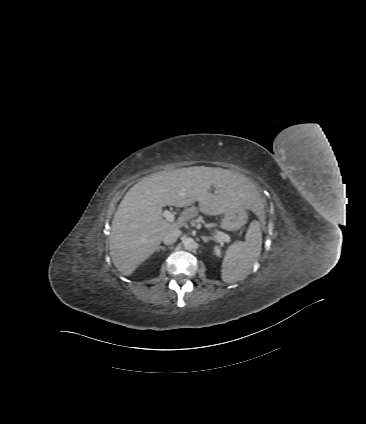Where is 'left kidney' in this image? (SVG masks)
<instances>
[{"label": "left kidney", "mask_w": 366, "mask_h": 424, "mask_svg": "<svg viewBox=\"0 0 366 424\" xmlns=\"http://www.w3.org/2000/svg\"><path fill=\"white\" fill-rule=\"evenodd\" d=\"M214 252H215V254H216L218 257H220V256H221V248H220V247L215 246V247H214Z\"/></svg>", "instance_id": "obj_1"}]
</instances>
